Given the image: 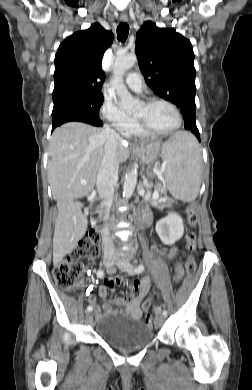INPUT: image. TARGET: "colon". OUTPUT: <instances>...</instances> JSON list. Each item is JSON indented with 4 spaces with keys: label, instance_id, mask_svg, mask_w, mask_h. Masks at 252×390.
Here are the masks:
<instances>
[{
    "label": "colon",
    "instance_id": "colon-1",
    "mask_svg": "<svg viewBox=\"0 0 252 390\" xmlns=\"http://www.w3.org/2000/svg\"><path fill=\"white\" fill-rule=\"evenodd\" d=\"M187 222L193 228L198 222L197 212L192 206L187 209ZM98 241L99 236L96 233H90L84 236L80 239L69 256L55 264L53 276L60 287L68 291L75 290L79 287L83 271L80 260L89 256H96L99 253ZM186 248L190 253L186 261V271L188 276H192L196 268L193 257V253L196 250V234L194 231H190L186 235ZM177 269L180 270V268ZM134 288L137 290L135 285ZM150 304L151 300L147 301L145 306L148 307ZM145 321L146 323L151 324L152 315L148 313Z\"/></svg>",
    "mask_w": 252,
    "mask_h": 390
}]
</instances>
